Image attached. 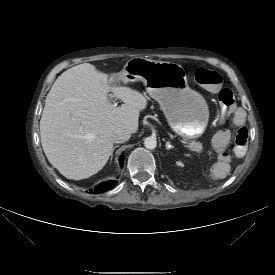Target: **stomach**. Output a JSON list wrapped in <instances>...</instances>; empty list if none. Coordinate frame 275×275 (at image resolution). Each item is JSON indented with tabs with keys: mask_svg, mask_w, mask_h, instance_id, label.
Listing matches in <instances>:
<instances>
[{
	"mask_svg": "<svg viewBox=\"0 0 275 275\" xmlns=\"http://www.w3.org/2000/svg\"><path fill=\"white\" fill-rule=\"evenodd\" d=\"M142 81L156 100L171 129L184 139H196L206 130L209 108L204 97L191 89L184 68L171 62L132 58L111 82Z\"/></svg>",
	"mask_w": 275,
	"mask_h": 275,
	"instance_id": "0dacf381",
	"label": "stomach"
}]
</instances>
